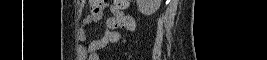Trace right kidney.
I'll list each match as a JSON object with an SVG mask.
<instances>
[{
	"label": "right kidney",
	"mask_w": 267,
	"mask_h": 60,
	"mask_svg": "<svg viewBox=\"0 0 267 60\" xmlns=\"http://www.w3.org/2000/svg\"><path fill=\"white\" fill-rule=\"evenodd\" d=\"M161 0H137V6L140 13L150 16L160 7Z\"/></svg>",
	"instance_id": "1"
}]
</instances>
